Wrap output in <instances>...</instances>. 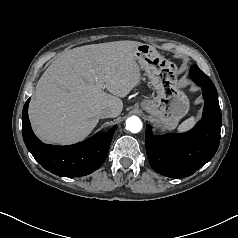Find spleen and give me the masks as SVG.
Here are the masks:
<instances>
[{"label": "spleen", "mask_w": 238, "mask_h": 238, "mask_svg": "<svg viewBox=\"0 0 238 238\" xmlns=\"http://www.w3.org/2000/svg\"><path fill=\"white\" fill-rule=\"evenodd\" d=\"M196 123V119L194 116L186 119L184 122H182L178 127V132H186L190 130Z\"/></svg>", "instance_id": "obj_1"}]
</instances>
